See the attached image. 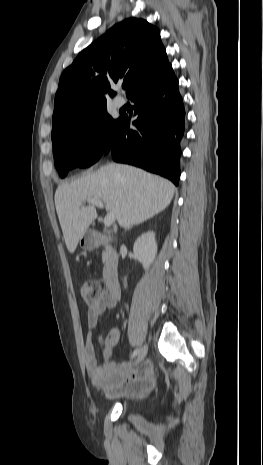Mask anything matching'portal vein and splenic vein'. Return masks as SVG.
<instances>
[{
	"label": "portal vein and splenic vein",
	"mask_w": 263,
	"mask_h": 465,
	"mask_svg": "<svg viewBox=\"0 0 263 465\" xmlns=\"http://www.w3.org/2000/svg\"><path fill=\"white\" fill-rule=\"evenodd\" d=\"M87 202L89 204H92L100 209H103L104 208V204L102 203V201L100 199H97V198H90V199H87ZM115 214L113 212H109L105 218H104V225L105 227H110L113 222L115 221Z\"/></svg>",
	"instance_id": "portal-vein-and-splenic-vein-1"
}]
</instances>
